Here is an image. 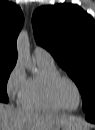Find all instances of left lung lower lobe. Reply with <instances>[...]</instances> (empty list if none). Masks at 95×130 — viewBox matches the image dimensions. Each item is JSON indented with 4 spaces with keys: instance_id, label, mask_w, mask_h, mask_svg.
Returning a JSON list of instances; mask_svg holds the SVG:
<instances>
[{
    "instance_id": "1",
    "label": "left lung lower lobe",
    "mask_w": 95,
    "mask_h": 130,
    "mask_svg": "<svg viewBox=\"0 0 95 130\" xmlns=\"http://www.w3.org/2000/svg\"><path fill=\"white\" fill-rule=\"evenodd\" d=\"M86 120L95 123V113H90L86 115Z\"/></svg>"
}]
</instances>
